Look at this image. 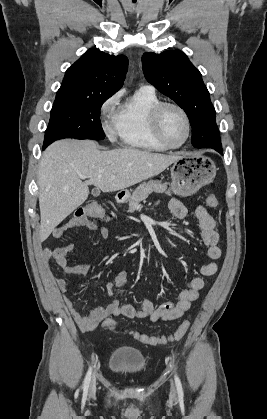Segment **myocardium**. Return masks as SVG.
I'll return each instance as SVG.
<instances>
[{"mask_svg":"<svg viewBox=\"0 0 267 419\" xmlns=\"http://www.w3.org/2000/svg\"><path fill=\"white\" fill-rule=\"evenodd\" d=\"M167 108H174L177 111H179V113L182 115L185 125H186V136L184 138V140L180 143V144H171L164 136L163 132H162V125H161V121H162V116L164 111ZM150 123H151V128L153 131L154 136L156 137V139L166 148L168 149H177L182 147L188 140L191 134V122H190V118L186 112V110L180 106L177 103L174 102H160L159 104H157L150 115Z\"/></svg>","mask_w":267,"mask_h":419,"instance_id":"obj_1","label":"myocardium"}]
</instances>
